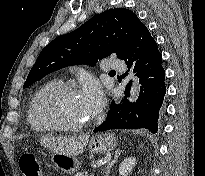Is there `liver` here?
I'll return each instance as SVG.
<instances>
[{
  "label": "liver",
  "mask_w": 205,
  "mask_h": 176,
  "mask_svg": "<svg viewBox=\"0 0 205 176\" xmlns=\"http://www.w3.org/2000/svg\"><path fill=\"white\" fill-rule=\"evenodd\" d=\"M89 135H80L70 139L65 138H42L41 143L54 153H63L76 156L82 153L88 143Z\"/></svg>",
  "instance_id": "liver-1"
}]
</instances>
